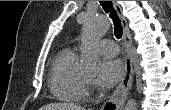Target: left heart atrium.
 I'll list each match as a JSON object with an SVG mask.
<instances>
[{
  "label": "left heart atrium",
  "instance_id": "39dd6f15",
  "mask_svg": "<svg viewBox=\"0 0 171 110\" xmlns=\"http://www.w3.org/2000/svg\"><path fill=\"white\" fill-rule=\"evenodd\" d=\"M125 66L119 59L103 60L99 64L95 83L102 88H111L124 75Z\"/></svg>",
  "mask_w": 171,
  "mask_h": 110
}]
</instances>
